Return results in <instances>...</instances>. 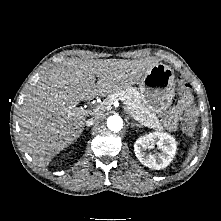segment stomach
Returning a JSON list of instances; mask_svg holds the SVG:
<instances>
[{"instance_id": "obj_1", "label": "stomach", "mask_w": 221, "mask_h": 221, "mask_svg": "<svg viewBox=\"0 0 221 221\" xmlns=\"http://www.w3.org/2000/svg\"><path fill=\"white\" fill-rule=\"evenodd\" d=\"M174 71L163 63H157L139 82L138 92L143 105L152 113L165 112L175 96Z\"/></svg>"}]
</instances>
